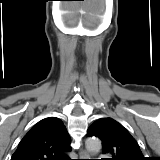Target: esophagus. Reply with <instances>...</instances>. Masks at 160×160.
Listing matches in <instances>:
<instances>
[{"label":"esophagus","instance_id":"1","mask_svg":"<svg viewBox=\"0 0 160 160\" xmlns=\"http://www.w3.org/2000/svg\"><path fill=\"white\" fill-rule=\"evenodd\" d=\"M79 156L81 159H87L88 158V153L84 150L79 151Z\"/></svg>","mask_w":160,"mask_h":160}]
</instances>
